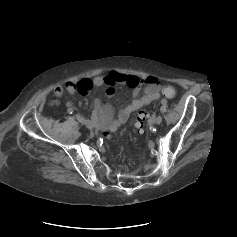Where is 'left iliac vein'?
<instances>
[{"label": "left iliac vein", "instance_id": "1", "mask_svg": "<svg viewBox=\"0 0 237 237\" xmlns=\"http://www.w3.org/2000/svg\"><path fill=\"white\" fill-rule=\"evenodd\" d=\"M161 122H162V117H161V116H158V117L155 119V123H156L157 125H159V124H161Z\"/></svg>", "mask_w": 237, "mask_h": 237}]
</instances>
